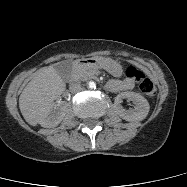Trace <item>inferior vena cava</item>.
Masks as SVG:
<instances>
[{
    "label": "inferior vena cava",
    "instance_id": "602c4592",
    "mask_svg": "<svg viewBox=\"0 0 187 187\" xmlns=\"http://www.w3.org/2000/svg\"><path fill=\"white\" fill-rule=\"evenodd\" d=\"M81 84L79 82H75V83H71L69 85V90L71 93H76V92H79L81 91Z\"/></svg>",
    "mask_w": 187,
    "mask_h": 187
}]
</instances>
